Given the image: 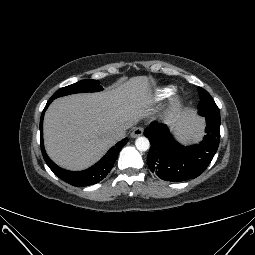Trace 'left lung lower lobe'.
<instances>
[{"instance_id":"0a47b994","label":"left lung lower lobe","mask_w":255,"mask_h":255,"mask_svg":"<svg viewBox=\"0 0 255 255\" xmlns=\"http://www.w3.org/2000/svg\"><path fill=\"white\" fill-rule=\"evenodd\" d=\"M206 118V135L198 145H180L164 124L152 123L144 130L151 143L147 157L150 170L159 178L180 182L199 176L210 164L219 146L220 114Z\"/></svg>"}]
</instances>
